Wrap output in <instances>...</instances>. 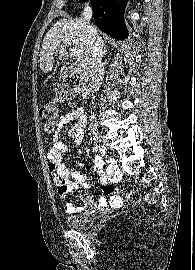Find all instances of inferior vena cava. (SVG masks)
I'll return each instance as SVG.
<instances>
[{"mask_svg":"<svg viewBox=\"0 0 195 270\" xmlns=\"http://www.w3.org/2000/svg\"><path fill=\"white\" fill-rule=\"evenodd\" d=\"M91 18L92 9L87 4L83 10V20L88 34V49L85 60L92 80V88L96 92L101 85L104 74V66L101 58L103 42L96 29L91 25Z\"/></svg>","mask_w":195,"mask_h":270,"instance_id":"1","label":"inferior vena cava"}]
</instances>
